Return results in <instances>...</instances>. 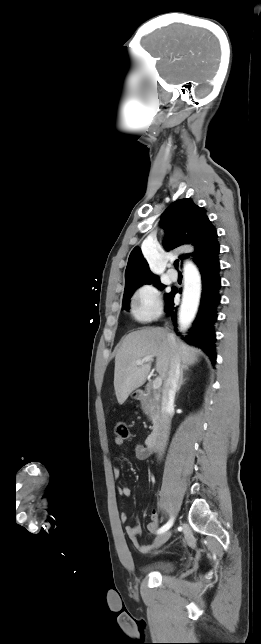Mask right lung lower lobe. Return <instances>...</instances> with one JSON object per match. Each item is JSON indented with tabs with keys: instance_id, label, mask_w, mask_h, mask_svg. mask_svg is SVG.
<instances>
[{
	"instance_id": "98d812e1",
	"label": "right lung lower lobe",
	"mask_w": 261,
	"mask_h": 644,
	"mask_svg": "<svg viewBox=\"0 0 261 644\" xmlns=\"http://www.w3.org/2000/svg\"><path fill=\"white\" fill-rule=\"evenodd\" d=\"M202 275V295L199 311L189 335L185 337L188 344L201 348L210 358L212 363L216 360L215 353V330L214 324L217 320V306L220 304L221 296L219 289L221 280L219 276L220 265L218 257L210 262L198 264ZM173 295L167 301L168 311L177 331V308L174 306V296L177 289L173 288ZM178 333V332H177Z\"/></svg>"
}]
</instances>
